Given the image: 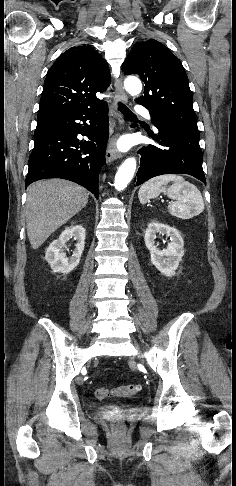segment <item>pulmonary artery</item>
<instances>
[{"label":"pulmonary artery","instance_id":"pulmonary-artery-1","mask_svg":"<svg viewBox=\"0 0 236 486\" xmlns=\"http://www.w3.org/2000/svg\"><path fill=\"white\" fill-rule=\"evenodd\" d=\"M135 111H136V113H137V114H139V115H142V116H145V117H147V118H150V113H149L148 109H146V108H145V107H143V106H140V105H139V106H137V107L135 108Z\"/></svg>","mask_w":236,"mask_h":486}]
</instances>
